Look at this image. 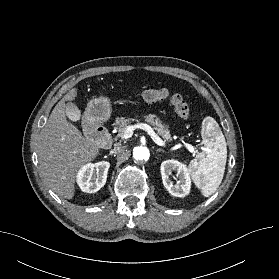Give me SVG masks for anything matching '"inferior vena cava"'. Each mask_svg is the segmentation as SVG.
<instances>
[{
    "label": "inferior vena cava",
    "mask_w": 279,
    "mask_h": 279,
    "mask_svg": "<svg viewBox=\"0 0 279 279\" xmlns=\"http://www.w3.org/2000/svg\"><path fill=\"white\" fill-rule=\"evenodd\" d=\"M123 151V147L121 146V144H115L114 148L111 150V153L113 154H117Z\"/></svg>",
    "instance_id": "602c4592"
}]
</instances>
